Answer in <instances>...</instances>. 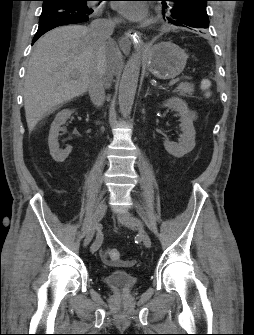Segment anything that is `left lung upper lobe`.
<instances>
[{
	"mask_svg": "<svg viewBox=\"0 0 254 335\" xmlns=\"http://www.w3.org/2000/svg\"><path fill=\"white\" fill-rule=\"evenodd\" d=\"M163 5V15H168V21L176 26L206 29L209 18L206 12L209 0H160Z\"/></svg>",
	"mask_w": 254,
	"mask_h": 335,
	"instance_id": "1",
	"label": "left lung upper lobe"
}]
</instances>
